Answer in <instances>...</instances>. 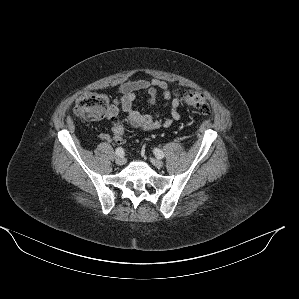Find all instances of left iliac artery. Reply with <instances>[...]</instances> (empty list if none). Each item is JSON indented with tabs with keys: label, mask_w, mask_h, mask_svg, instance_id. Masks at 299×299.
I'll list each match as a JSON object with an SVG mask.
<instances>
[{
	"label": "left iliac artery",
	"mask_w": 299,
	"mask_h": 299,
	"mask_svg": "<svg viewBox=\"0 0 299 299\" xmlns=\"http://www.w3.org/2000/svg\"><path fill=\"white\" fill-rule=\"evenodd\" d=\"M154 154L157 156V158H160V159L164 158V153L160 149H157V148L154 149Z\"/></svg>",
	"instance_id": "1"
}]
</instances>
